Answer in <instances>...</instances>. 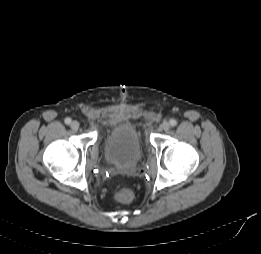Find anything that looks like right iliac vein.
I'll return each mask as SVG.
<instances>
[{
    "label": "right iliac vein",
    "mask_w": 261,
    "mask_h": 254,
    "mask_svg": "<svg viewBox=\"0 0 261 254\" xmlns=\"http://www.w3.org/2000/svg\"><path fill=\"white\" fill-rule=\"evenodd\" d=\"M70 127H71L72 130L77 131V130L79 129V127H80V124H79L78 121H73V122L70 124Z\"/></svg>",
    "instance_id": "right-iliac-vein-1"
}]
</instances>
